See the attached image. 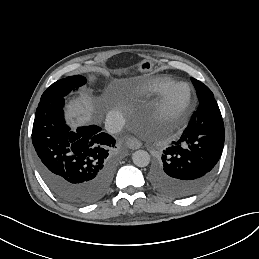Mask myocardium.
<instances>
[{
	"mask_svg": "<svg viewBox=\"0 0 259 259\" xmlns=\"http://www.w3.org/2000/svg\"><path fill=\"white\" fill-rule=\"evenodd\" d=\"M140 83L143 86H147V84L150 81H157L160 83H165V82H172V81H182L184 82L190 91V99L189 102L175 115V121L178 123L182 120H184L194 109L196 105V100H197V95H196V89L194 85L188 81L182 80L174 75H171L169 77H154V78H144V79H139Z\"/></svg>",
	"mask_w": 259,
	"mask_h": 259,
	"instance_id": "myocardium-1",
	"label": "myocardium"
}]
</instances>
